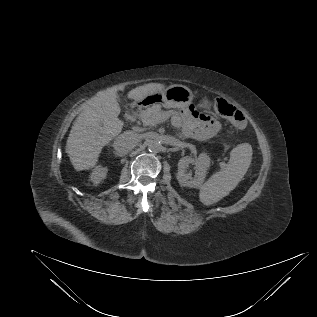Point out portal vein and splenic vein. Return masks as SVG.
<instances>
[{
	"label": "portal vein and splenic vein",
	"mask_w": 317,
	"mask_h": 317,
	"mask_svg": "<svg viewBox=\"0 0 317 317\" xmlns=\"http://www.w3.org/2000/svg\"><path fill=\"white\" fill-rule=\"evenodd\" d=\"M164 120V117L162 115H158L156 117V120H155V124H159V123H162Z\"/></svg>",
	"instance_id": "obj_1"
}]
</instances>
